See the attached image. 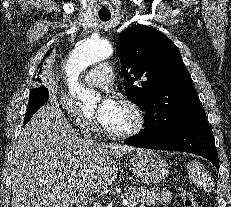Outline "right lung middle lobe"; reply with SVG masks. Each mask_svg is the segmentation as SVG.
Segmentation results:
<instances>
[{"mask_svg": "<svg viewBox=\"0 0 231 207\" xmlns=\"http://www.w3.org/2000/svg\"><path fill=\"white\" fill-rule=\"evenodd\" d=\"M44 89H45L44 86H40L38 88L32 89L31 92H30L29 101H32L34 99V97H36L37 94L39 92H42Z\"/></svg>", "mask_w": 231, "mask_h": 207, "instance_id": "obj_1", "label": "right lung middle lobe"}]
</instances>
